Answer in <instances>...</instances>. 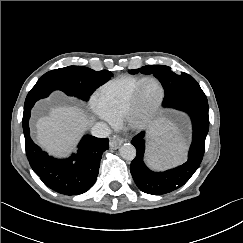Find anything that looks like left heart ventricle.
I'll return each instance as SVG.
<instances>
[{
  "label": "left heart ventricle",
  "instance_id": "obj_1",
  "mask_svg": "<svg viewBox=\"0 0 243 243\" xmlns=\"http://www.w3.org/2000/svg\"><path fill=\"white\" fill-rule=\"evenodd\" d=\"M159 92V87L156 83H147L139 96L137 110L141 112L151 107L157 100Z\"/></svg>",
  "mask_w": 243,
  "mask_h": 243
}]
</instances>
